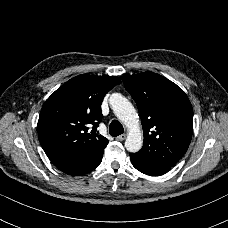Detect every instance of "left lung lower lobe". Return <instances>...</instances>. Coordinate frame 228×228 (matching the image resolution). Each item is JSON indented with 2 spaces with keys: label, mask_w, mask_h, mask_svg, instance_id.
<instances>
[{
  "label": "left lung lower lobe",
  "mask_w": 228,
  "mask_h": 228,
  "mask_svg": "<svg viewBox=\"0 0 228 228\" xmlns=\"http://www.w3.org/2000/svg\"><path fill=\"white\" fill-rule=\"evenodd\" d=\"M130 158L132 165L140 172L150 175V176H159L168 172L171 167L170 166H158L151 163H147L138 159L133 153H130Z\"/></svg>",
  "instance_id": "0a47b994"
}]
</instances>
